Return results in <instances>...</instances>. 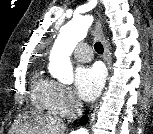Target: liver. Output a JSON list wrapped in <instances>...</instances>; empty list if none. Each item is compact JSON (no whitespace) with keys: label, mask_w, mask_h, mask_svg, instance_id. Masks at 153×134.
Instances as JSON below:
<instances>
[{"label":"liver","mask_w":153,"mask_h":134,"mask_svg":"<svg viewBox=\"0 0 153 134\" xmlns=\"http://www.w3.org/2000/svg\"><path fill=\"white\" fill-rule=\"evenodd\" d=\"M25 118H34V121L25 122L24 125L20 126V129L17 131L19 134H26L30 132H44V134H57V132H63L65 126L62 123L57 122L48 115H43L41 113L32 112L31 116H25Z\"/></svg>","instance_id":"liver-1"}]
</instances>
